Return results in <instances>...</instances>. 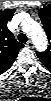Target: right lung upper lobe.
Returning <instances> with one entry per match:
<instances>
[{
    "label": "right lung upper lobe",
    "mask_w": 51,
    "mask_h": 101,
    "mask_svg": "<svg viewBox=\"0 0 51 101\" xmlns=\"http://www.w3.org/2000/svg\"><path fill=\"white\" fill-rule=\"evenodd\" d=\"M14 12L15 9L0 11V74L11 67L19 50L24 47L7 28V23Z\"/></svg>",
    "instance_id": "1"
}]
</instances>
